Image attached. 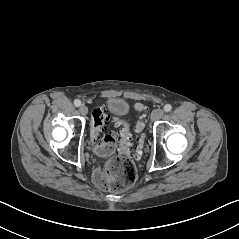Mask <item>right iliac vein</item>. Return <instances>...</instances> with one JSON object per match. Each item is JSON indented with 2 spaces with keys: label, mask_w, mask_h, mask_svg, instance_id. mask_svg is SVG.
I'll use <instances>...</instances> for the list:
<instances>
[{
  "label": "right iliac vein",
  "mask_w": 239,
  "mask_h": 239,
  "mask_svg": "<svg viewBox=\"0 0 239 239\" xmlns=\"http://www.w3.org/2000/svg\"><path fill=\"white\" fill-rule=\"evenodd\" d=\"M79 111L82 115H87L88 113V108L85 105L80 106Z\"/></svg>",
  "instance_id": "63e3f726"
}]
</instances>
